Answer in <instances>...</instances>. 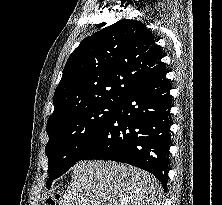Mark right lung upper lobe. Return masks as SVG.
<instances>
[{
    "label": "right lung upper lobe",
    "instance_id": "cb5924a9",
    "mask_svg": "<svg viewBox=\"0 0 222 205\" xmlns=\"http://www.w3.org/2000/svg\"><path fill=\"white\" fill-rule=\"evenodd\" d=\"M154 37L137 20L122 19L86 37L70 55L47 126L91 105L122 101L165 69Z\"/></svg>",
    "mask_w": 222,
    "mask_h": 205
}]
</instances>
